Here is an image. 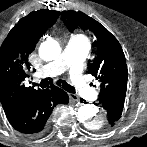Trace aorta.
Listing matches in <instances>:
<instances>
[{"label":"aorta","mask_w":147,"mask_h":147,"mask_svg":"<svg viewBox=\"0 0 147 147\" xmlns=\"http://www.w3.org/2000/svg\"><path fill=\"white\" fill-rule=\"evenodd\" d=\"M60 54V45L53 39H47L40 45L39 55L45 61L55 60ZM77 118L90 130L102 129L107 123L106 114L93 104H82L77 110Z\"/></svg>","instance_id":"obj_1"}]
</instances>
